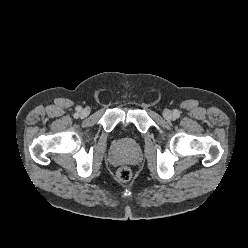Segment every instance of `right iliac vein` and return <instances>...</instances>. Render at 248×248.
Returning a JSON list of instances; mask_svg holds the SVG:
<instances>
[{
  "mask_svg": "<svg viewBox=\"0 0 248 248\" xmlns=\"http://www.w3.org/2000/svg\"><path fill=\"white\" fill-rule=\"evenodd\" d=\"M89 115V110L88 109H83L82 111H81V116L82 117H87Z\"/></svg>",
  "mask_w": 248,
  "mask_h": 248,
  "instance_id": "1",
  "label": "right iliac vein"
}]
</instances>
